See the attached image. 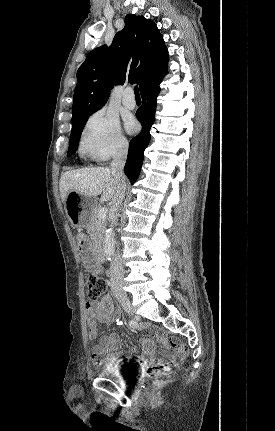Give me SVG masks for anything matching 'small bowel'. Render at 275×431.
<instances>
[{
  "label": "small bowel",
  "instance_id": "c3829d8e",
  "mask_svg": "<svg viewBox=\"0 0 275 431\" xmlns=\"http://www.w3.org/2000/svg\"><path fill=\"white\" fill-rule=\"evenodd\" d=\"M77 242L82 258L89 266H95L93 264L92 246L89 240L85 236L79 235ZM97 272L100 273L101 270L97 269ZM86 316L87 336L90 341H93L98 337L97 322L104 325H111L119 319V311L115 308L112 298L109 295H104L99 301L86 304ZM138 329L145 331L147 335V337L143 338L141 341L143 355L140 359L144 364H148L146 356L150 355L154 348L151 337L160 344L172 349V353L169 356L158 361V364L166 363V371L170 369L172 363L176 359H180L184 356L182 353V345L177 340H167L156 327L151 326L149 323H141L138 325ZM120 347L121 340L117 334L102 335L99 344L92 347L94 363L101 365L119 361L122 357Z\"/></svg>",
  "mask_w": 275,
  "mask_h": 431
}]
</instances>
